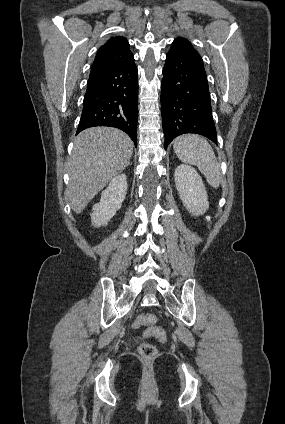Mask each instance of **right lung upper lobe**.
I'll list each match as a JSON object with an SVG mask.
<instances>
[{
  "label": "right lung upper lobe",
  "instance_id": "1",
  "mask_svg": "<svg viewBox=\"0 0 285 424\" xmlns=\"http://www.w3.org/2000/svg\"><path fill=\"white\" fill-rule=\"evenodd\" d=\"M133 59L126 38L116 36L110 38L98 49L90 74L111 69Z\"/></svg>",
  "mask_w": 285,
  "mask_h": 424
}]
</instances>
